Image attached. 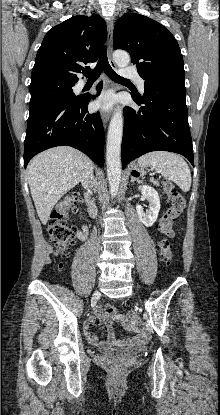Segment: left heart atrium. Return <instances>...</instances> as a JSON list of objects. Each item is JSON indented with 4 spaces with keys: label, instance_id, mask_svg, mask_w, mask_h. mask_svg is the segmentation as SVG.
I'll return each instance as SVG.
<instances>
[{
    "label": "left heart atrium",
    "instance_id": "39dd6f15",
    "mask_svg": "<svg viewBox=\"0 0 220 415\" xmlns=\"http://www.w3.org/2000/svg\"><path fill=\"white\" fill-rule=\"evenodd\" d=\"M114 96L110 93L103 94L96 102L98 108L109 109L114 103Z\"/></svg>",
    "mask_w": 220,
    "mask_h": 415
}]
</instances>
